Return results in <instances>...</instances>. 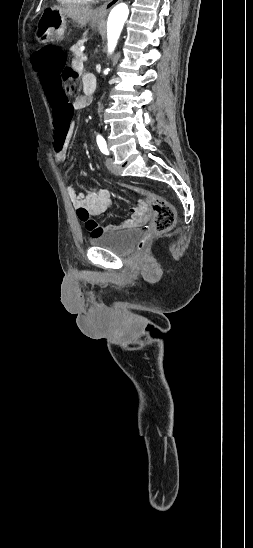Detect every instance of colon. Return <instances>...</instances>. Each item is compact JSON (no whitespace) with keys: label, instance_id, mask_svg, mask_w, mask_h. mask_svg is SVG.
Returning a JSON list of instances; mask_svg holds the SVG:
<instances>
[{"label":"colon","instance_id":"colon-1","mask_svg":"<svg viewBox=\"0 0 253 548\" xmlns=\"http://www.w3.org/2000/svg\"><path fill=\"white\" fill-rule=\"evenodd\" d=\"M35 68L40 72L43 93L47 96V104L52 105L51 112L55 134V147L61 148L62 142L71 133L74 117L71 107V96L78 93L77 74L65 67L66 55L56 47H44L33 54ZM65 83V91L63 84ZM131 192L148 202L154 210V219L149 233L139 242L142 250L155 235L169 232L175 225L176 213L174 207L161 197L133 185H125Z\"/></svg>","mask_w":253,"mask_h":548}]
</instances>
